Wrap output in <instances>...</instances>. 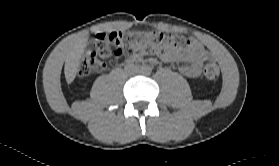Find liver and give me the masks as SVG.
Returning <instances> with one entry per match:
<instances>
[{
  "label": "liver",
  "instance_id": "6515ba94",
  "mask_svg": "<svg viewBox=\"0 0 279 166\" xmlns=\"http://www.w3.org/2000/svg\"><path fill=\"white\" fill-rule=\"evenodd\" d=\"M87 41V36L78 38L66 55L64 73L68 84L72 83L76 77L80 65V59L84 53Z\"/></svg>",
  "mask_w": 279,
  "mask_h": 166
}]
</instances>
